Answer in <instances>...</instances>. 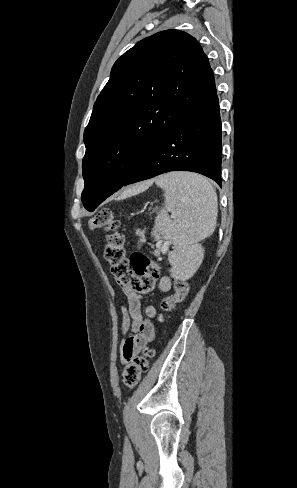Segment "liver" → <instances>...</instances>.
Wrapping results in <instances>:
<instances>
[{
    "label": "liver",
    "instance_id": "1",
    "mask_svg": "<svg viewBox=\"0 0 297 488\" xmlns=\"http://www.w3.org/2000/svg\"><path fill=\"white\" fill-rule=\"evenodd\" d=\"M146 186L142 185L141 188H145Z\"/></svg>",
    "mask_w": 297,
    "mask_h": 488
}]
</instances>
